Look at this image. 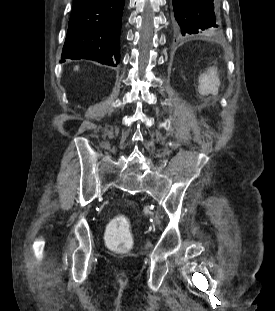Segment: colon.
<instances>
[{"label":"colon","mask_w":275,"mask_h":311,"mask_svg":"<svg viewBox=\"0 0 275 311\" xmlns=\"http://www.w3.org/2000/svg\"><path fill=\"white\" fill-rule=\"evenodd\" d=\"M106 239L110 246L121 251H126L132 247L133 240L129 233V223L126 217L117 216L110 222Z\"/></svg>","instance_id":"obj_1"}]
</instances>
